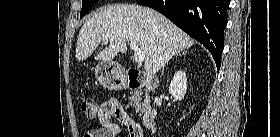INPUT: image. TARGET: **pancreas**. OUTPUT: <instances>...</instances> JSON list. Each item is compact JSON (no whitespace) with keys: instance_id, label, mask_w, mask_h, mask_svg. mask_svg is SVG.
Wrapping results in <instances>:
<instances>
[{"instance_id":"cf45deb5","label":"pancreas","mask_w":280,"mask_h":137,"mask_svg":"<svg viewBox=\"0 0 280 137\" xmlns=\"http://www.w3.org/2000/svg\"><path fill=\"white\" fill-rule=\"evenodd\" d=\"M141 96H142V93H140V92H134V93L132 94V96L130 97V103H131V105H133V107L136 108V111H137L138 113H141V112H143L144 110L150 108L149 99L146 97V98L143 100V102L141 103V100H142ZM140 116H141V114H140Z\"/></svg>"}]
</instances>
